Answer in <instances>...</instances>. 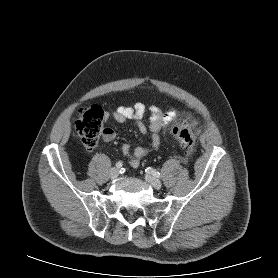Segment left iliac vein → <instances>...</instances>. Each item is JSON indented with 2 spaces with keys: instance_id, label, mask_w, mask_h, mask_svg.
<instances>
[{
  "instance_id": "1",
  "label": "left iliac vein",
  "mask_w": 278,
  "mask_h": 278,
  "mask_svg": "<svg viewBox=\"0 0 278 278\" xmlns=\"http://www.w3.org/2000/svg\"><path fill=\"white\" fill-rule=\"evenodd\" d=\"M145 180L155 189H160L162 186V183L159 179L147 174L145 175Z\"/></svg>"
}]
</instances>
